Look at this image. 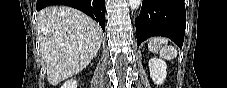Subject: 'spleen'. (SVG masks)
<instances>
[{"mask_svg":"<svg viewBox=\"0 0 227 88\" xmlns=\"http://www.w3.org/2000/svg\"><path fill=\"white\" fill-rule=\"evenodd\" d=\"M148 49L153 52H159L160 56L167 60H172L177 57V50L168 45V40L163 37H153L148 43Z\"/></svg>","mask_w":227,"mask_h":88,"instance_id":"1","label":"spleen"}]
</instances>
